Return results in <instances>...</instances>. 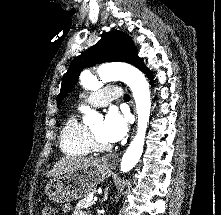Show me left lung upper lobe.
Segmentation results:
<instances>
[{"instance_id": "obj_1", "label": "left lung upper lobe", "mask_w": 221, "mask_h": 215, "mask_svg": "<svg viewBox=\"0 0 221 215\" xmlns=\"http://www.w3.org/2000/svg\"><path fill=\"white\" fill-rule=\"evenodd\" d=\"M113 61L130 63L142 71L146 68L143 61L138 57V52L132 39L127 34L117 30L104 33L96 45L77 56L71 63L62 80L57 101L58 106L67 93L75 86L79 74L85 67Z\"/></svg>"}]
</instances>
